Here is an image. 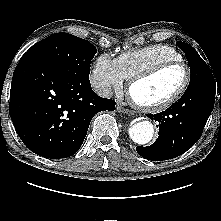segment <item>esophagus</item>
Listing matches in <instances>:
<instances>
[{"label":"esophagus","instance_id":"1","mask_svg":"<svg viewBox=\"0 0 221 221\" xmlns=\"http://www.w3.org/2000/svg\"><path fill=\"white\" fill-rule=\"evenodd\" d=\"M116 110H117V112H119V113L133 114L132 111H130V110L124 108V107H123L121 104H119V103L117 104Z\"/></svg>","mask_w":221,"mask_h":221}]
</instances>
